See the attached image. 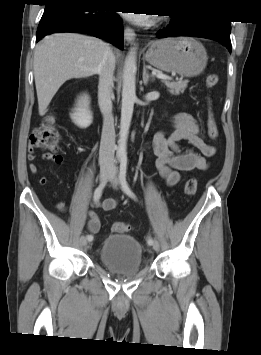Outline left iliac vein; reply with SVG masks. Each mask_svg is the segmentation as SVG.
<instances>
[{
  "mask_svg": "<svg viewBox=\"0 0 261 355\" xmlns=\"http://www.w3.org/2000/svg\"><path fill=\"white\" fill-rule=\"evenodd\" d=\"M110 181H111V184L114 188H116L118 186V184L120 183V179L117 176V168L116 167L112 168V175L110 177ZM152 247L155 251H158L159 250L158 241L155 240L154 243L152 244Z\"/></svg>",
  "mask_w": 261,
  "mask_h": 355,
  "instance_id": "1",
  "label": "left iliac vein"
}]
</instances>
